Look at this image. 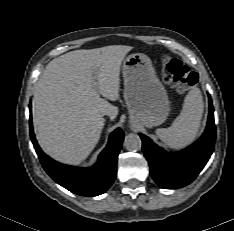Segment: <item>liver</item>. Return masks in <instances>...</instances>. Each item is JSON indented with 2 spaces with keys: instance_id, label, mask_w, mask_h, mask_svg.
Instances as JSON below:
<instances>
[{
  "instance_id": "6515ba94",
  "label": "liver",
  "mask_w": 234,
  "mask_h": 231,
  "mask_svg": "<svg viewBox=\"0 0 234 231\" xmlns=\"http://www.w3.org/2000/svg\"><path fill=\"white\" fill-rule=\"evenodd\" d=\"M131 49L74 50L47 64L34 89L32 111L36 138L50 157L78 165L89 156L100 139L103 116L118 114L107 100L119 97L120 67Z\"/></svg>"
}]
</instances>
